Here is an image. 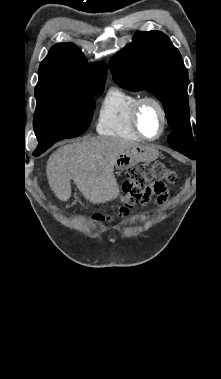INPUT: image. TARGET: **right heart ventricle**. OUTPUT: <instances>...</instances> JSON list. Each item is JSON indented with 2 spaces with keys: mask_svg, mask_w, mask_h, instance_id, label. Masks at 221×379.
Segmentation results:
<instances>
[{
  "mask_svg": "<svg viewBox=\"0 0 221 379\" xmlns=\"http://www.w3.org/2000/svg\"><path fill=\"white\" fill-rule=\"evenodd\" d=\"M140 98L139 94L123 88H111L100 107L96 123L97 132L110 137L140 140L131 123L133 106Z\"/></svg>",
  "mask_w": 221,
  "mask_h": 379,
  "instance_id": "right-heart-ventricle-1",
  "label": "right heart ventricle"
}]
</instances>
